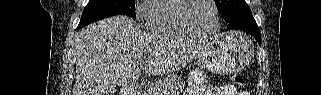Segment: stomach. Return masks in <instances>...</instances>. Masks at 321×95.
<instances>
[{"label":"stomach","instance_id":"1","mask_svg":"<svg viewBox=\"0 0 321 95\" xmlns=\"http://www.w3.org/2000/svg\"><path fill=\"white\" fill-rule=\"evenodd\" d=\"M253 54L251 41L240 32H231L210 40L199 52L198 61L208 71L232 74L241 70Z\"/></svg>","mask_w":321,"mask_h":95}]
</instances>
